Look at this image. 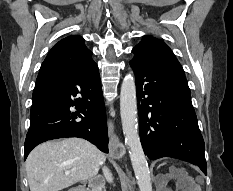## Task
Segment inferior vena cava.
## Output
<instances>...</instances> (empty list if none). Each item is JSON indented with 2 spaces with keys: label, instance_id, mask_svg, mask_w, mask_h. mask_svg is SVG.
<instances>
[{
  "label": "inferior vena cava",
  "instance_id": "inferior-vena-cava-1",
  "mask_svg": "<svg viewBox=\"0 0 233 191\" xmlns=\"http://www.w3.org/2000/svg\"><path fill=\"white\" fill-rule=\"evenodd\" d=\"M102 170H103V174H104L106 180H107L109 183H111V182L113 181V177H112V174H111V172L109 171V169H108L107 167L104 166V167L102 168Z\"/></svg>",
  "mask_w": 233,
  "mask_h": 191
}]
</instances>
